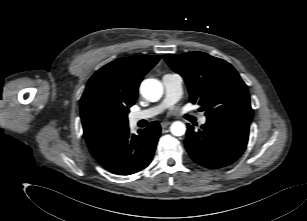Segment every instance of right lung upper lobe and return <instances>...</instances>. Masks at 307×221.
<instances>
[{
  "label": "right lung upper lobe",
  "mask_w": 307,
  "mask_h": 221,
  "mask_svg": "<svg viewBox=\"0 0 307 221\" xmlns=\"http://www.w3.org/2000/svg\"><path fill=\"white\" fill-rule=\"evenodd\" d=\"M160 56H133L114 60L100 68L88 81L80 100L81 119L90 152L128 128L127 114L138 94L143 76ZM105 113L113 117L103 122Z\"/></svg>",
  "instance_id": "cb5924a9"
}]
</instances>
